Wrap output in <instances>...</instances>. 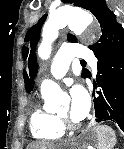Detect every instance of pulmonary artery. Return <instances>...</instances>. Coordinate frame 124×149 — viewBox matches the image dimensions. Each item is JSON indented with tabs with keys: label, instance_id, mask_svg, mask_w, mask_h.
<instances>
[{
	"label": "pulmonary artery",
	"instance_id": "e3ab8cb5",
	"mask_svg": "<svg viewBox=\"0 0 124 149\" xmlns=\"http://www.w3.org/2000/svg\"><path fill=\"white\" fill-rule=\"evenodd\" d=\"M74 59L88 60L92 68H96V59L88 47L83 44L68 43L60 48L53 60L49 69L50 78L59 80L64 77Z\"/></svg>",
	"mask_w": 124,
	"mask_h": 149
}]
</instances>
